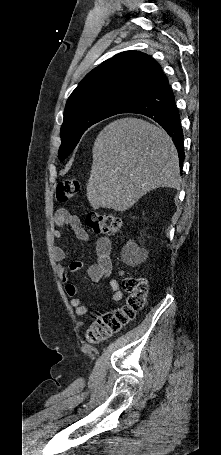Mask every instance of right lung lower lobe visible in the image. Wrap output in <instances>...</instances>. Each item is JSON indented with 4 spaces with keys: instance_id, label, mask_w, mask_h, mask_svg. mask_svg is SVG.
I'll return each mask as SVG.
<instances>
[{
    "instance_id": "right-lung-lower-lobe-1",
    "label": "right lung lower lobe",
    "mask_w": 221,
    "mask_h": 455,
    "mask_svg": "<svg viewBox=\"0 0 221 455\" xmlns=\"http://www.w3.org/2000/svg\"><path fill=\"white\" fill-rule=\"evenodd\" d=\"M122 113L142 114L160 124L171 136L177 148L182 170L185 155L180 115L168 79L164 74L157 79L146 95L126 107Z\"/></svg>"
}]
</instances>
